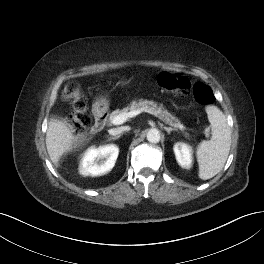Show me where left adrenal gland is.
Masks as SVG:
<instances>
[{
  "label": "left adrenal gland",
  "instance_id": "1",
  "mask_svg": "<svg viewBox=\"0 0 264 264\" xmlns=\"http://www.w3.org/2000/svg\"><path fill=\"white\" fill-rule=\"evenodd\" d=\"M164 129H165V131H166L168 134H170L171 131H177L176 128H172V127H164Z\"/></svg>",
  "mask_w": 264,
  "mask_h": 264
}]
</instances>
